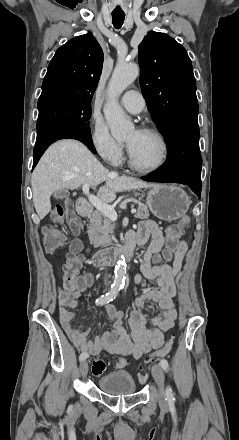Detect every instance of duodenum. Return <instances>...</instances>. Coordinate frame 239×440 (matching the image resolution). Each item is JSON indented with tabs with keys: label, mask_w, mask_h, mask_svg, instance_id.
Listing matches in <instances>:
<instances>
[{
	"label": "duodenum",
	"mask_w": 239,
	"mask_h": 440,
	"mask_svg": "<svg viewBox=\"0 0 239 440\" xmlns=\"http://www.w3.org/2000/svg\"><path fill=\"white\" fill-rule=\"evenodd\" d=\"M77 210L81 216H88L92 211V207L87 199L81 198L77 202ZM133 255L134 244L127 242L123 248L104 249L95 252L90 258V263L95 267H101L115 263L121 258L130 259Z\"/></svg>",
	"instance_id": "duodenum-1"
}]
</instances>
